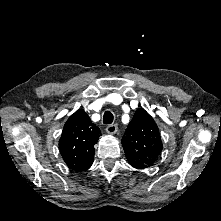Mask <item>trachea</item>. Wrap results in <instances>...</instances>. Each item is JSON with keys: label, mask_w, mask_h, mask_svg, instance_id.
<instances>
[{"label": "trachea", "mask_w": 221, "mask_h": 221, "mask_svg": "<svg viewBox=\"0 0 221 221\" xmlns=\"http://www.w3.org/2000/svg\"><path fill=\"white\" fill-rule=\"evenodd\" d=\"M113 114L110 112V111H106L104 113V116H103V123L104 124H111L113 122Z\"/></svg>", "instance_id": "obj_1"}]
</instances>
